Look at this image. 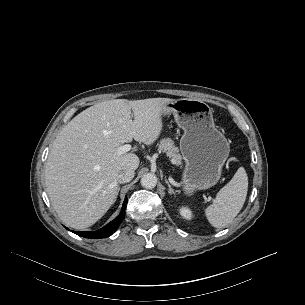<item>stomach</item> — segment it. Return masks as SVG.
Returning <instances> with one entry per match:
<instances>
[{
  "label": "stomach",
  "mask_w": 305,
  "mask_h": 305,
  "mask_svg": "<svg viewBox=\"0 0 305 305\" xmlns=\"http://www.w3.org/2000/svg\"><path fill=\"white\" fill-rule=\"evenodd\" d=\"M173 114L184 131L180 151L185 160L182 185L187 195L214 186L230 152L229 142L217 130L211 108L197 99L181 98L165 105L163 115Z\"/></svg>",
  "instance_id": "stomach-1"
}]
</instances>
